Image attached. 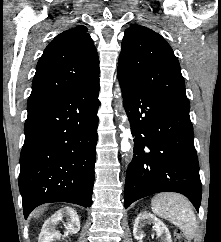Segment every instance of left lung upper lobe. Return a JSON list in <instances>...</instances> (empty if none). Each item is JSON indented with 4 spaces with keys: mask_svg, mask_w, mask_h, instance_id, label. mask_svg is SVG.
I'll return each instance as SVG.
<instances>
[{
    "mask_svg": "<svg viewBox=\"0 0 221 242\" xmlns=\"http://www.w3.org/2000/svg\"><path fill=\"white\" fill-rule=\"evenodd\" d=\"M118 70L149 93L190 108L179 61L153 30L137 24L125 30Z\"/></svg>",
    "mask_w": 221,
    "mask_h": 242,
    "instance_id": "1",
    "label": "left lung upper lobe"
}]
</instances>
